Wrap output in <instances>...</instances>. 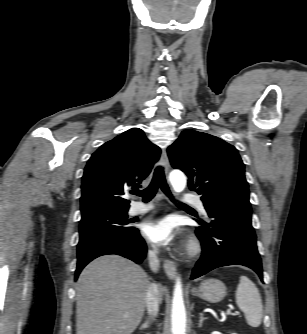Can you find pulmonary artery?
<instances>
[{"instance_id":"e3ab8cb5","label":"pulmonary artery","mask_w":307,"mask_h":334,"mask_svg":"<svg viewBox=\"0 0 307 334\" xmlns=\"http://www.w3.org/2000/svg\"><path fill=\"white\" fill-rule=\"evenodd\" d=\"M187 201L195 205L201 213H203L204 215H207V211L205 209L204 203L202 202L200 198L191 197V198H188ZM152 209H153V205H150V204L142 205L141 203H135L131 206L129 210V214L132 216L141 215V214L151 211Z\"/></svg>"}]
</instances>
